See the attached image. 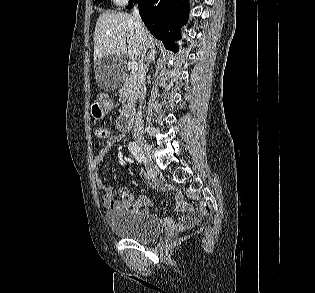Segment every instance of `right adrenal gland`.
Instances as JSON below:
<instances>
[{"label":"right adrenal gland","instance_id":"right-adrenal-gland-1","mask_svg":"<svg viewBox=\"0 0 315 293\" xmlns=\"http://www.w3.org/2000/svg\"><path fill=\"white\" fill-rule=\"evenodd\" d=\"M155 54H156V52H150V51L147 53V57L145 58L147 71L149 69L148 67H149L150 63L155 62Z\"/></svg>","mask_w":315,"mask_h":293}]
</instances>
